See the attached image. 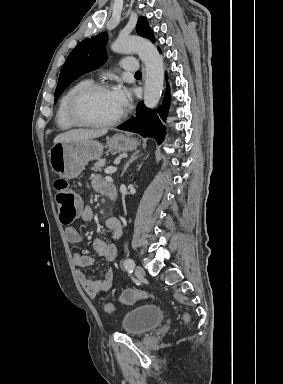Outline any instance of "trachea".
<instances>
[{"mask_svg":"<svg viewBox=\"0 0 283 384\" xmlns=\"http://www.w3.org/2000/svg\"><path fill=\"white\" fill-rule=\"evenodd\" d=\"M135 75H142V73L140 72V70H138L137 72H135Z\"/></svg>","mask_w":283,"mask_h":384,"instance_id":"1","label":"trachea"}]
</instances>
